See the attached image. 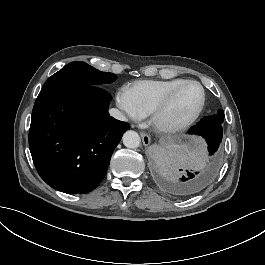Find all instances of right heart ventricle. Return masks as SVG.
Returning <instances> with one entry per match:
<instances>
[{"label":"right heart ventricle","instance_id":"e07e8e85","mask_svg":"<svg viewBox=\"0 0 265 265\" xmlns=\"http://www.w3.org/2000/svg\"><path fill=\"white\" fill-rule=\"evenodd\" d=\"M184 79L175 77L165 80H141L130 84L128 87L133 93V100L138 110L147 116Z\"/></svg>","mask_w":265,"mask_h":265}]
</instances>
